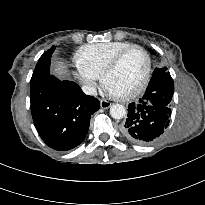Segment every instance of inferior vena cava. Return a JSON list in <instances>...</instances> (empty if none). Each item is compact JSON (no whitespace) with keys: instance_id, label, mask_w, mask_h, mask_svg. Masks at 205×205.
I'll return each instance as SVG.
<instances>
[{"instance_id":"602c4592","label":"inferior vena cava","mask_w":205,"mask_h":205,"mask_svg":"<svg viewBox=\"0 0 205 205\" xmlns=\"http://www.w3.org/2000/svg\"><path fill=\"white\" fill-rule=\"evenodd\" d=\"M82 91L86 94V95H93L96 96L97 95V90L95 87L90 86V85H84L82 86Z\"/></svg>"}]
</instances>
